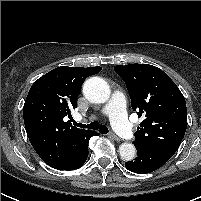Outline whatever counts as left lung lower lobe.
Returning <instances> with one entry per match:
<instances>
[{"instance_id":"left-lung-lower-lobe-1","label":"left lung lower lobe","mask_w":201,"mask_h":201,"mask_svg":"<svg viewBox=\"0 0 201 201\" xmlns=\"http://www.w3.org/2000/svg\"><path fill=\"white\" fill-rule=\"evenodd\" d=\"M137 157L125 162V167L138 174H146L163 166L176 152L172 148L142 149L136 147Z\"/></svg>"}]
</instances>
